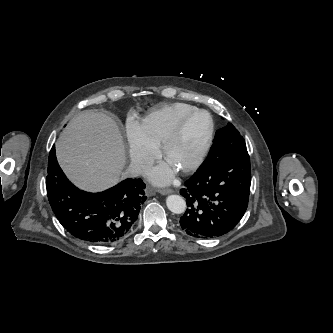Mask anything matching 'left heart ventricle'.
I'll use <instances>...</instances> for the list:
<instances>
[{
  "label": "left heart ventricle",
  "instance_id": "1",
  "mask_svg": "<svg viewBox=\"0 0 333 333\" xmlns=\"http://www.w3.org/2000/svg\"><path fill=\"white\" fill-rule=\"evenodd\" d=\"M209 127L205 114L193 116L186 124L181 140L173 147L167 159L168 164L179 169L193 160Z\"/></svg>",
  "mask_w": 333,
  "mask_h": 333
}]
</instances>
